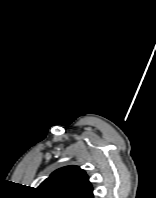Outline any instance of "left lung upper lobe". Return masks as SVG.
Listing matches in <instances>:
<instances>
[{"label": "left lung upper lobe", "instance_id": "left-lung-upper-lobe-1", "mask_svg": "<svg viewBox=\"0 0 156 198\" xmlns=\"http://www.w3.org/2000/svg\"><path fill=\"white\" fill-rule=\"evenodd\" d=\"M37 191L41 198H94L88 176L77 166L57 169Z\"/></svg>", "mask_w": 156, "mask_h": 198}]
</instances>
